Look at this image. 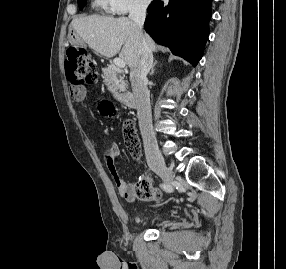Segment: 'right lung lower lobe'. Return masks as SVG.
Wrapping results in <instances>:
<instances>
[{"label":"right lung lower lobe","instance_id":"1","mask_svg":"<svg viewBox=\"0 0 286 269\" xmlns=\"http://www.w3.org/2000/svg\"><path fill=\"white\" fill-rule=\"evenodd\" d=\"M212 0H155L144 28L158 44L196 66L209 34Z\"/></svg>","mask_w":286,"mask_h":269}]
</instances>
